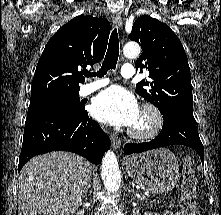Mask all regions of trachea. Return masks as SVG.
Listing matches in <instances>:
<instances>
[{
	"label": "trachea",
	"instance_id": "trachea-1",
	"mask_svg": "<svg viewBox=\"0 0 221 215\" xmlns=\"http://www.w3.org/2000/svg\"><path fill=\"white\" fill-rule=\"evenodd\" d=\"M118 56H119V39H118L117 29H114L112 31L109 40L107 53L102 63L101 69L97 73L86 72L85 76L87 77L104 76L108 70L116 68Z\"/></svg>",
	"mask_w": 221,
	"mask_h": 215
}]
</instances>
